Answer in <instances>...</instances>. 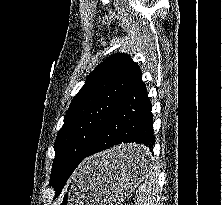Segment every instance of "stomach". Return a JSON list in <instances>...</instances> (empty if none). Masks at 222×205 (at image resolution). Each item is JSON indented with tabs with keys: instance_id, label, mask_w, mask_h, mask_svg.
<instances>
[{
	"instance_id": "1",
	"label": "stomach",
	"mask_w": 222,
	"mask_h": 205,
	"mask_svg": "<svg viewBox=\"0 0 222 205\" xmlns=\"http://www.w3.org/2000/svg\"><path fill=\"white\" fill-rule=\"evenodd\" d=\"M146 147L121 145L87 159L63 191L58 205H118L144 180L151 163L124 164L118 156Z\"/></svg>"
}]
</instances>
